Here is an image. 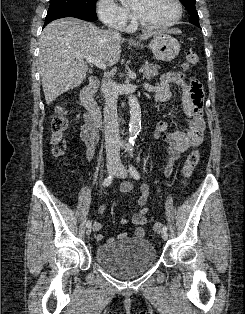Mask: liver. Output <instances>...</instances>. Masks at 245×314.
<instances>
[{
    "instance_id": "1",
    "label": "liver",
    "mask_w": 245,
    "mask_h": 314,
    "mask_svg": "<svg viewBox=\"0 0 245 314\" xmlns=\"http://www.w3.org/2000/svg\"><path fill=\"white\" fill-rule=\"evenodd\" d=\"M159 34L163 33L148 32L140 39ZM124 40L113 31L72 17L48 24L40 37L38 58L46 103L51 104L84 81L89 67L79 55L97 57L107 65H114L120 60V44Z\"/></svg>"
}]
</instances>
